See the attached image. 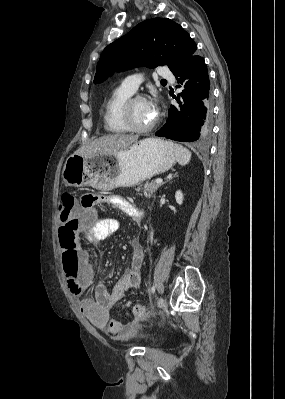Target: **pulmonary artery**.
<instances>
[{
	"label": "pulmonary artery",
	"mask_w": 285,
	"mask_h": 399,
	"mask_svg": "<svg viewBox=\"0 0 285 399\" xmlns=\"http://www.w3.org/2000/svg\"><path fill=\"white\" fill-rule=\"evenodd\" d=\"M161 77L165 78V79H169V80H174L172 73L166 69V68H162L161 72H160ZM141 82V78L136 76V75H130L125 77L122 81H121V86L125 89H127L128 91H130L131 93H134Z\"/></svg>",
	"instance_id": "e3ab8cb5"
}]
</instances>
